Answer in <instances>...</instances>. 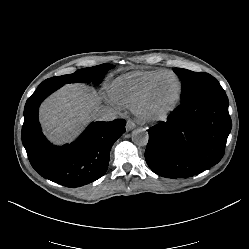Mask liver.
I'll return each mask as SVG.
<instances>
[{
    "instance_id": "1",
    "label": "liver",
    "mask_w": 249,
    "mask_h": 249,
    "mask_svg": "<svg viewBox=\"0 0 249 249\" xmlns=\"http://www.w3.org/2000/svg\"><path fill=\"white\" fill-rule=\"evenodd\" d=\"M96 96L89 87L71 84L49 98L41 108L47 135L59 142L70 138L91 118Z\"/></svg>"
}]
</instances>
